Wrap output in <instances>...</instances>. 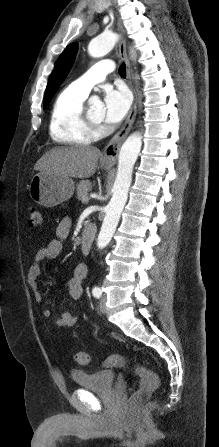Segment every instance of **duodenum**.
Returning <instances> with one entry per match:
<instances>
[{
    "label": "duodenum",
    "instance_id": "410a0bca",
    "mask_svg": "<svg viewBox=\"0 0 219 447\" xmlns=\"http://www.w3.org/2000/svg\"><path fill=\"white\" fill-rule=\"evenodd\" d=\"M96 227L94 224H88L85 226L81 233L80 248L84 255H87L90 251L92 241L95 237Z\"/></svg>",
    "mask_w": 219,
    "mask_h": 447
}]
</instances>
